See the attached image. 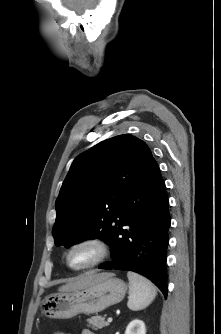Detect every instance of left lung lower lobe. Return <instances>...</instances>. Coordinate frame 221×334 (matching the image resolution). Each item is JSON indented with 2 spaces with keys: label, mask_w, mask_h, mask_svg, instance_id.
<instances>
[{
  "label": "left lung lower lobe",
  "mask_w": 221,
  "mask_h": 334,
  "mask_svg": "<svg viewBox=\"0 0 221 334\" xmlns=\"http://www.w3.org/2000/svg\"><path fill=\"white\" fill-rule=\"evenodd\" d=\"M168 206L165 182L154 160L124 199L109 242L112 261L99 268L140 273L167 297Z\"/></svg>",
  "instance_id": "obj_1"
}]
</instances>
